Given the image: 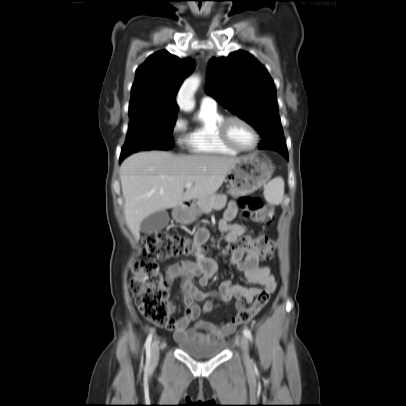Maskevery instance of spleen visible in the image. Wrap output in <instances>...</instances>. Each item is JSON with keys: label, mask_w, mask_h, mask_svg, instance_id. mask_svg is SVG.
<instances>
[{"label": "spleen", "mask_w": 406, "mask_h": 406, "mask_svg": "<svg viewBox=\"0 0 406 406\" xmlns=\"http://www.w3.org/2000/svg\"><path fill=\"white\" fill-rule=\"evenodd\" d=\"M264 196L269 203L280 204L284 197V180L281 177L271 180L264 188Z\"/></svg>", "instance_id": "obj_1"}]
</instances>
